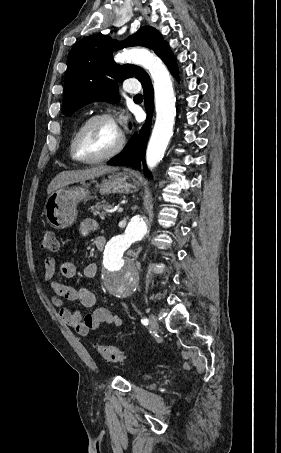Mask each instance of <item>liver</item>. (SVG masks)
Returning <instances> with one entry per match:
<instances>
[{
	"label": "liver",
	"instance_id": "6515ba94",
	"mask_svg": "<svg viewBox=\"0 0 281 453\" xmlns=\"http://www.w3.org/2000/svg\"><path fill=\"white\" fill-rule=\"evenodd\" d=\"M115 170H119L118 166H107V164H99V166L85 168V170H63V172L56 174L55 178H52L50 184H48L47 192L51 194L53 190L67 186V184L91 180V178H97V176H102L106 172H115Z\"/></svg>",
	"mask_w": 281,
	"mask_h": 453
}]
</instances>
